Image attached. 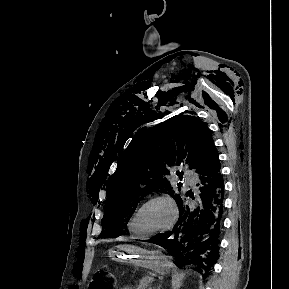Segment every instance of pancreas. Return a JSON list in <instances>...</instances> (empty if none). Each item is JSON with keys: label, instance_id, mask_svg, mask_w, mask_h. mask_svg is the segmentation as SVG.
Instances as JSON below:
<instances>
[{"label": "pancreas", "instance_id": "pancreas-1", "mask_svg": "<svg viewBox=\"0 0 289 289\" xmlns=\"http://www.w3.org/2000/svg\"><path fill=\"white\" fill-rule=\"evenodd\" d=\"M137 289H151L150 279L148 276H146L140 280Z\"/></svg>", "mask_w": 289, "mask_h": 289}]
</instances>
